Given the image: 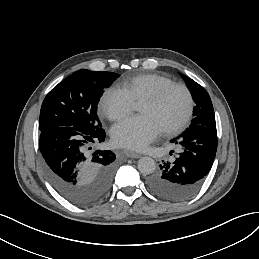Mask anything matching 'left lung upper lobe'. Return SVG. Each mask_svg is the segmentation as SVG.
Segmentation results:
<instances>
[{
    "instance_id": "1",
    "label": "left lung upper lobe",
    "mask_w": 259,
    "mask_h": 259,
    "mask_svg": "<svg viewBox=\"0 0 259 259\" xmlns=\"http://www.w3.org/2000/svg\"><path fill=\"white\" fill-rule=\"evenodd\" d=\"M182 77L186 81V84L192 94L193 100L196 103V106L193 110L194 119L192 120L190 126L216 125L214 109L209 94L201 85L196 83L194 80L185 75H182Z\"/></svg>"
}]
</instances>
